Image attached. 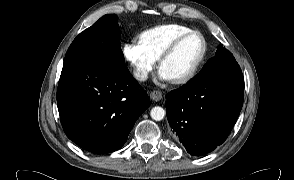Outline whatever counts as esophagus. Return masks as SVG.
<instances>
[{"mask_svg":"<svg viewBox=\"0 0 294 180\" xmlns=\"http://www.w3.org/2000/svg\"><path fill=\"white\" fill-rule=\"evenodd\" d=\"M150 98L154 101H159L162 99V92L159 90H153L150 92Z\"/></svg>","mask_w":294,"mask_h":180,"instance_id":"esophagus-1","label":"esophagus"}]
</instances>
